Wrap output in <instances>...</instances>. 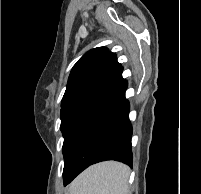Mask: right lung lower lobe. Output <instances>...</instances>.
<instances>
[{
    "instance_id": "98d812e1",
    "label": "right lung lower lobe",
    "mask_w": 201,
    "mask_h": 194,
    "mask_svg": "<svg viewBox=\"0 0 201 194\" xmlns=\"http://www.w3.org/2000/svg\"><path fill=\"white\" fill-rule=\"evenodd\" d=\"M127 86L123 80L91 100L72 121L63 144L65 185L89 165L100 161L117 160L132 165Z\"/></svg>"
}]
</instances>
